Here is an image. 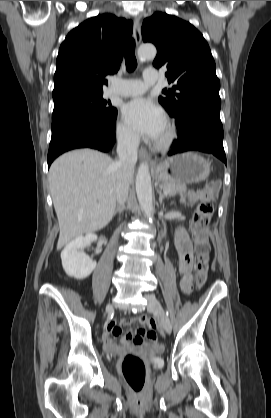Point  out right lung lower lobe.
<instances>
[{
	"instance_id": "obj_1",
	"label": "right lung lower lobe",
	"mask_w": 271,
	"mask_h": 418,
	"mask_svg": "<svg viewBox=\"0 0 271 418\" xmlns=\"http://www.w3.org/2000/svg\"><path fill=\"white\" fill-rule=\"evenodd\" d=\"M116 117H83L52 126L48 167L56 157L72 149L94 148L104 152L111 151L115 140Z\"/></svg>"
}]
</instances>
